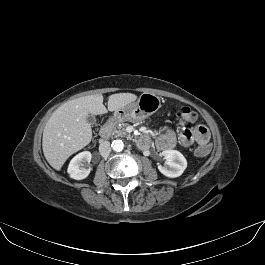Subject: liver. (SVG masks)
I'll return each instance as SVG.
<instances>
[{
	"instance_id": "liver-1",
	"label": "liver",
	"mask_w": 265,
	"mask_h": 265,
	"mask_svg": "<svg viewBox=\"0 0 265 265\" xmlns=\"http://www.w3.org/2000/svg\"><path fill=\"white\" fill-rule=\"evenodd\" d=\"M137 95L117 93L108 97V111H116L134 102ZM107 113L101 94L80 97L57 108L47 121L42 139L43 153L48 163L60 170L66 160L87 146L92 140V128L86 121L88 114Z\"/></svg>"
}]
</instances>
